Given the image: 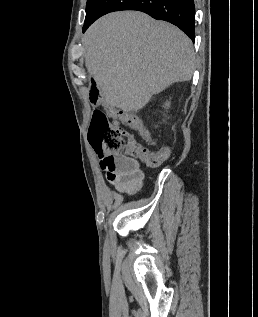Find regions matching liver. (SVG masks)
I'll list each match as a JSON object with an SVG mask.
<instances>
[{"mask_svg":"<svg viewBox=\"0 0 258 317\" xmlns=\"http://www.w3.org/2000/svg\"><path fill=\"white\" fill-rule=\"evenodd\" d=\"M85 64L110 106L139 110L172 82L190 80L193 44L177 26L139 10L110 12L84 34Z\"/></svg>","mask_w":258,"mask_h":317,"instance_id":"1","label":"liver"}]
</instances>
